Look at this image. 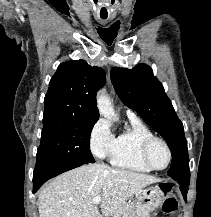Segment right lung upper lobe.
Instances as JSON below:
<instances>
[{
	"instance_id": "cb5924a9",
	"label": "right lung upper lobe",
	"mask_w": 211,
	"mask_h": 217,
	"mask_svg": "<svg viewBox=\"0 0 211 217\" xmlns=\"http://www.w3.org/2000/svg\"><path fill=\"white\" fill-rule=\"evenodd\" d=\"M105 82V72L84 60L61 63L50 80L44 99L43 120L73 117L98 120L96 92Z\"/></svg>"
}]
</instances>
